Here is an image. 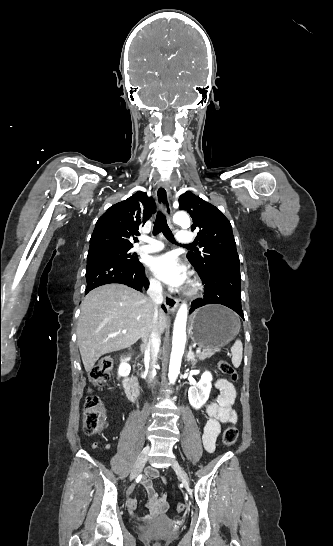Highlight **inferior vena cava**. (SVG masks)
<instances>
[{
    "label": "inferior vena cava",
    "instance_id": "602c4592",
    "mask_svg": "<svg viewBox=\"0 0 333 546\" xmlns=\"http://www.w3.org/2000/svg\"><path fill=\"white\" fill-rule=\"evenodd\" d=\"M162 285L157 280H152L150 282L149 289L147 291V294L151 301L153 302L154 311L152 315V325H151V331L148 337L149 344L147 346L148 351L151 354L152 359L156 357L157 351L160 347L161 339L160 334L158 332L157 327V318H158V308L159 305L163 302V295H162ZM153 368L149 371V382L151 383L154 380V374H153Z\"/></svg>",
    "mask_w": 333,
    "mask_h": 546
}]
</instances>
